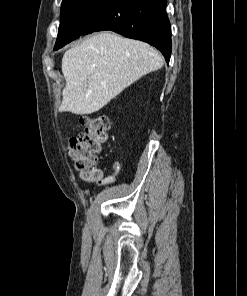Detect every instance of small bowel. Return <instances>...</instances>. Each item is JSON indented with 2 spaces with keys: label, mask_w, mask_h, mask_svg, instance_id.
<instances>
[{
  "label": "small bowel",
  "mask_w": 247,
  "mask_h": 296,
  "mask_svg": "<svg viewBox=\"0 0 247 296\" xmlns=\"http://www.w3.org/2000/svg\"><path fill=\"white\" fill-rule=\"evenodd\" d=\"M115 180L113 178H108L105 180L104 184H112Z\"/></svg>",
  "instance_id": "small-bowel-1"
}]
</instances>
